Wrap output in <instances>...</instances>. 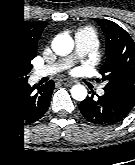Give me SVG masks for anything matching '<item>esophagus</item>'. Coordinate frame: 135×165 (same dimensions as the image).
<instances>
[{"label": "esophagus", "mask_w": 135, "mask_h": 165, "mask_svg": "<svg viewBox=\"0 0 135 165\" xmlns=\"http://www.w3.org/2000/svg\"><path fill=\"white\" fill-rule=\"evenodd\" d=\"M61 82L62 84L67 85V86H71L73 84V82L69 79H62Z\"/></svg>", "instance_id": "1"}]
</instances>
